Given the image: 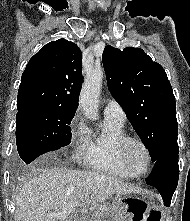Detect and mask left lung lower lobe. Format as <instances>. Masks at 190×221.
Instances as JSON below:
<instances>
[{"label":"left lung lower lobe","mask_w":190,"mask_h":221,"mask_svg":"<svg viewBox=\"0 0 190 221\" xmlns=\"http://www.w3.org/2000/svg\"><path fill=\"white\" fill-rule=\"evenodd\" d=\"M178 178V146H176L165 151L154 162L153 170L146 179V183L157 188L165 206H169L178 184Z\"/></svg>","instance_id":"1"}]
</instances>
